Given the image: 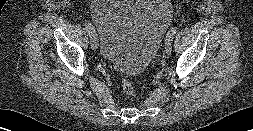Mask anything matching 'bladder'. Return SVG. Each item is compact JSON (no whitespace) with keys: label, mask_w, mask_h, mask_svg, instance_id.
I'll use <instances>...</instances> for the list:
<instances>
[{"label":"bladder","mask_w":253,"mask_h":131,"mask_svg":"<svg viewBox=\"0 0 253 131\" xmlns=\"http://www.w3.org/2000/svg\"><path fill=\"white\" fill-rule=\"evenodd\" d=\"M172 17L169 0H94L91 18L103 60L140 74L160 47Z\"/></svg>","instance_id":"1"}]
</instances>
